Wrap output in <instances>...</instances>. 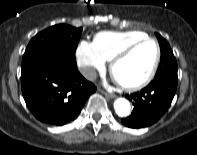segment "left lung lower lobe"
I'll list each match as a JSON object with an SVG mask.
<instances>
[{
    "label": "left lung lower lobe",
    "mask_w": 197,
    "mask_h": 155,
    "mask_svg": "<svg viewBox=\"0 0 197 155\" xmlns=\"http://www.w3.org/2000/svg\"><path fill=\"white\" fill-rule=\"evenodd\" d=\"M177 81V76L164 74L155 77L140 92L127 95L134 109L131 115L121 119V122L129 128L147 127L157 122L173 100Z\"/></svg>",
    "instance_id": "1"
}]
</instances>
